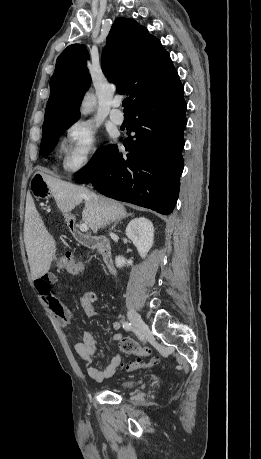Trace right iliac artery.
Returning <instances> with one entry per match:
<instances>
[{
	"instance_id": "right-iliac-artery-1",
	"label": "right iliac artery",
	"mask_w": 261,
	"mask_h": 459,
	"mask_svg": "<svg viewBox=\"0 0 261 459\" xmlns=\"http://www.w3.org/2000/svg\"><path fill=\"white\" fill-rule=\"evenodd\" d=\"M123 328H124L126 331H130V330H132V325H131V323H129V322H123Z\"/></svg>"
}]
</instances>
